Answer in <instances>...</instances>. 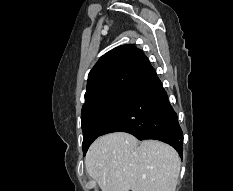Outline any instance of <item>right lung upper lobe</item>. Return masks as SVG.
Here are the masks:
<instances>
[{
    "label": "right lung upper lobe",
    "instance_id": "obj_1",
    "mask_svg": "<svg viewBox=\"0 0 233 191\" xmlns=\"http://www.w3.org/2000/svg\"><path fill=\"white\" fill-rule=\"evenodd\" d=\"M148 64V58L132 44L107 52L88 75L83 107L111 94L129 90Z\"/></svg>",
    "mask_w": 233,
    "mask_h": 191
}]
</instances>
